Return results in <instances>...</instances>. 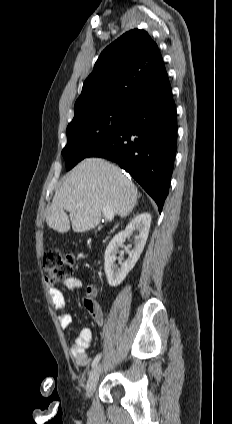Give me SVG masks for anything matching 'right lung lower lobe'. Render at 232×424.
<instances>
[{
    "mask_svg": "<svg viewBox=\"0 0 232 424\" xmlns=\"http://www.w3.org/2000/svg\"><path fill=\"white\" fill-rule=\"evenodd\" d=\"M177 142L176 107L168 77L131 106L126 124L87 157L114 161L155 200L162 211Z\"/></svg>",
    "mask_w": 232,
    "mask_h": 424,
    "instance_id": "right-lung-lower-lobe-1",
    "label": "right lung lower lobe"
}]
</instances>
